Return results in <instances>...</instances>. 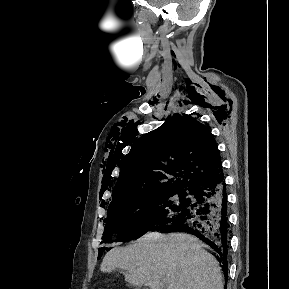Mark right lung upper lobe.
Wrapping results in <instances>:
<instances>
[{"label":"right lung upper lobe","mask_w":289,"mask_h":289,"mask_svg":"<svg viewBox=\"0 0 289 289\" xmlns=\"http://www.w3.org/2000/svg\"><path fill=\"white\" fill-rule=\"evenodd\" d=\"M221 171L219 150L209 128L196 118L179 115L133 146L110 205L158 190L190 191Z\"/></svg>","instance_id":"cb5924a9"}]
</instances>
